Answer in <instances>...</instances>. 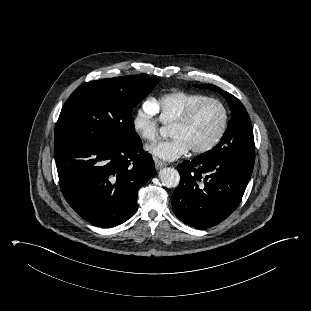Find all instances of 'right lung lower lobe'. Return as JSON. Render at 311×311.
<instances>
[{
  "instance_id": "98d812e1",
  "label": "right lung lower lobe",
  "mask_w": 311,
  "mask_h": 311,
  "mask_svg": "<svg viewBox=\"0 0 311 311\" xmlns=\"http://www.w3.org/2000/svg\"><path fill=\"white\" fill-rule=\"evenodd\" d=\"M62 193L83 219L110 228L128 220L139 188L154 174L141 139L121 146L70 142L54 147Z\"/></svg>"
}]
</instances>
